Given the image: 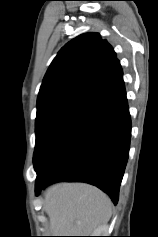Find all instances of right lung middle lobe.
I'll return each mask as SVG.
<instances>
[{
    "label": "right lung middle lobe",
    "instance_id": "1",
    "mask_svg": "<svg viewBox=\"0 0 158 237\" xmlns=\"http://www.w3.org/2000/svg\"><path fill=\"white\" fill-rule=\"evenodd\" d=\"M82 104V102L72 98L50 99L37 104L36 146L34 154L43 139Z\"/></svg>",
    "mask_w": 158,
    "mask_h": 237
}]
</instances>
